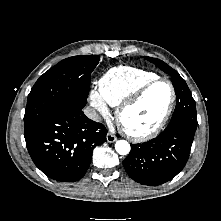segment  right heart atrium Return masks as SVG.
<instances>
[{"label":"right heart atrium","instance_id":"d8ad5b80","mask_svg":"<svg viewBox=\"0 0 221 221\" xmlns=\"http://www.w3.org/2000/svg\"><path fill=\"white\" fill-rule=\"evenodd\" d=\"M90 103L94 109L103 117L108 116L109 110L106 103L102 100L100 94L96 91L90 93Z\"/></svg>","mask_w":221,"mask_h":221}]
</instances>
